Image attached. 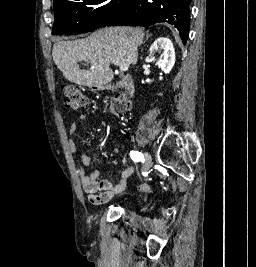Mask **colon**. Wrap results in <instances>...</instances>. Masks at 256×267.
I'll return each mask as SVG.
<instances>
[{"instance_id":"1","label":"colon","mask_w":256,"mask_h":267,"mask_svg":"<svg viewBox=\"0 0 256 267\" xmlns=\"http://www.w3.org/2000/svg\"><path fill=\"white\" fill-rule=\"evenodd\" d=\"M63 103L66 108L79 111L84 110L88 106V99L79 88L75 86H65L63 88ZM110 108L116 114L122 115L129 110L130 103L126 97L119 96L111 102ZM141 189L150 191L148 185H141Z\"/></svg>"}]
</instances>
